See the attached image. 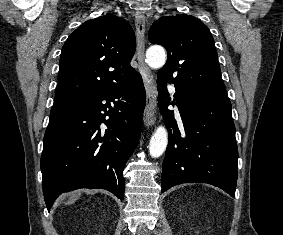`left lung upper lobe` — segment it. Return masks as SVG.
Returning <instances> with one entry per match:
<instances>
[{
    "label": "left lung upper lobe",
    "mask_w": 283,
    "mask_h": 235,
    "mask_svg": "<svg viewBox=\"0 0 283 235\" xmlns=\"http://www.w3.org/2000/svg\"><path fill=\"white\" fill-rule=\"evenodd\" d=\"M148 38L168 52L158 76L197 94L228 98L214 39L199 19L186 14L161 17L152 24Z\"/></svg>",
    "instance_id": "5c2ea615"
}]
</instances>
